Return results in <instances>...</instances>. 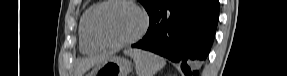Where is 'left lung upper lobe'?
Instances as JSON below:
<instances>
[{
    "label": "left lung upper lobe",
    "instance_id": "obj_1",
    "mask_svg": "<svg viewBox=\"0 0 287 76\" xmlns=\"http://www.w3.org/2000/svg\"><path fill=\"white\" fill-rule=\"evenodd\" d=\"M150 14L156 7L165 2L166 0H138Z\"/></svg>",
    "mask_w": 287,
    "mask_h": 76
}]
</instances>
